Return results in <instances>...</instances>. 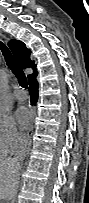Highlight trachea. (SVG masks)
I'll use <instances>...</instances> for the list:
<instances>
[{
	"instance_id": "obj_1",
	"label": "trachea",
	"mask_w": 89,
	"mask_h": 203,
	"mask_svg": "<svg viewBox=\"0 0 89 203\" xmlns=\"http://www.w3.org/2000/svg\"><path fill=\"white\" fill-rule=\"evenodd\" d=\"M0 50L5 58L7 66L12 70V72L17 77L21 87L26 88L28 86L26 76L22 68L18 65L16 59L8 49V47L0 41Z\"/></svg>"
}]
</instances>
